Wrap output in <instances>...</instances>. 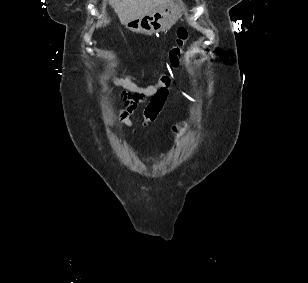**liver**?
<instances>
[{
  "instance_id": "6515ba94",
  "label": "liver",
  "mask_w": 308,
  "mask_h": 283,
  "mask_svg": "<svg viewBox=\"0 0 308 283\" xmlns=\"http://www.w3.org/2000/svg\"><path fill=\"white\" fill-rule=\"evenodd\" d=\"M172 2L173 0H109L122 25Z\"/></svg>"
}]
</instances>
